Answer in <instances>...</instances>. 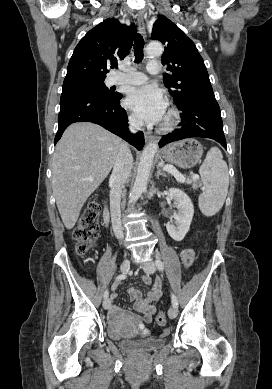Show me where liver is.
<instances>
[{
    "label": "liver",
    "mask_w": 272,
    "mask_h": 389,
    "mask_svg": "<svg viewBox=\"0 0 272 389\" xmlns=\"http://www.w3.org/2000/svg\"><path fill=\"white\" fill-rule=\"evenodd\" d=\"M122 141L93 123L70 125L52 159V189L62 221L72 229L88 197L110 173Z\"/></svg>",
    "instance_id": "obj_1"
}]
</instances>
